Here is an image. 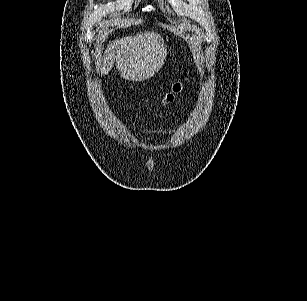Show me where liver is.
<instances>
[{
    "label": "liver",
    "mask_w": 307,
    "mask_h": 301,
    "mask_svg": "<svg viewBox=\"0 0 307 301\" xmlns=\"http://www.w3.org/2000/svg\"><path fill=\"white\" fill-rule=\"evenodd\" d=\"M167 48L157 32H138L136 36H121L109 40L106 50L96 60L97 70L109 74L116 62L121 78L125 80H146L158 72L164 64ZM102 64V66H100Z\"/></svg>",
    "instance_id": "1"
}]
</instances>
